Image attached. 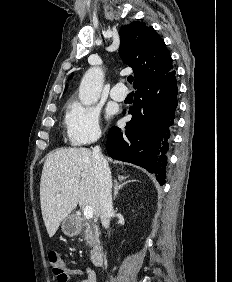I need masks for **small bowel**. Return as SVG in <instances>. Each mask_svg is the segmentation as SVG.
I'll return each mask as SVG.
<instances>
[{"label":"small bowel","mask_w":232,"mask_h":282,"mask_svg":"<svg viewBox=\"0 0 232 282\" xmlns=\"http://www.w3.org/2000/svg\"><path fill=\"white\" fill-rule=\"evenodd\" d=\"M69 276L80 277L79 282H98L96 273L89 267H82L81 269H73L66 274L65 279H57L58 282H68Z\"/></svg>","instance_id":"obj_1"}]
</instances>
